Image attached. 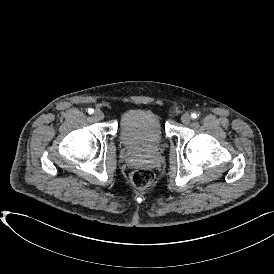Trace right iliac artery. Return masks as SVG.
I'll return each mask as SVG.
<instances>
[{
	"label": "right iliac artery",
	"mask_w": 274,
	"mask_h": 274,
	"mask_svg": "<svg viewBox=\"0 0 274 274\" xmlns=\"http://www.w3.org/2000/svg\"><path fill=\"white\" fill-rule=\"evenodd\" d=\"M88 113H89V114H93V113H94V110H93L92 108H90V109L88 110Z\"/></svg>",
	"instance_id": "right-iliac-artery-1"
}]
</instances>
